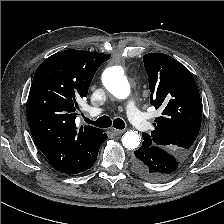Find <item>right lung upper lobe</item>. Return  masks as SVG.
<instances>
[{
	"mask_svg": "<svg viewBox=\"0 0 224 224\" xmlns=\"http://www.w3.org/2000/svg\"><path fill=\"white\" fill-rule=\"evenodd\" d=\"M111 55L58 52L37 68L28 97V118L38 149L60 172L76 174L103 141V130L76 127L77 101L87 96L99 66Z\"/></svg>",
	"mask_w": 224,
	"mask_h": 224,
	"instance_id": "1",
	"label": "right lung upper lobe"
}]
</instances>
